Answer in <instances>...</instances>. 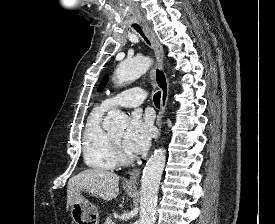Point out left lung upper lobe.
<instances>
[{"label":"left lung upper lobe","instance_id":"1","mask_svg":"<svg viewBox=\"0 0 275 224\" xmlns=\"http://www.w3.org/2000/svg\"><path fill=\"white\" fill-rule=\"evenodd\" d=\"M108 78H109L108 75H105V77L103 78V80L101 81V83L98 87V91H101L105 87V85L108 82Z\"/></svg>","mask_w":275,"mask_h":224}]
</instances>
